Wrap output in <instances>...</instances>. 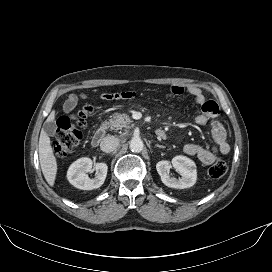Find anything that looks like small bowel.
I'll return each instance as SVG.
<instances>
[{
    "mask_svg": "<svg viewBox=\"0 0 272 272\" xmlns=\"http://www.w3.org/2000/svg\"><path fill=\"white\" fill-rule=\"evenodd\" d=\"M171 93L175 96H182L185 93L193 97L198 105V114L195 117V123L199 126L209 124L210 135L213 142L218 146L222 154H227L230 151L229 143L226 138V131L223 125L217 120L219 107L215 101L206 100L201 89L195 86L184 88L179 85H173L170 88ZM136 94L132 91H119L113 93H104L101 95L102 100H119L132 99ZM80 98L86 99V95L81 94ZM79 97L70 95L64 103V111L67 114L73 115V111L77 106ZM184 152L187 155L197 157L203 164L210 165L216 159V155L201 143H187L184 146Z\"/></svg>",
    "mask_w": 272,
    "mask_h": 272,
    "instance_id": "small-bowel-1",
    "label": "small bowel"
}]
</instances>
